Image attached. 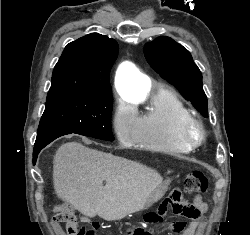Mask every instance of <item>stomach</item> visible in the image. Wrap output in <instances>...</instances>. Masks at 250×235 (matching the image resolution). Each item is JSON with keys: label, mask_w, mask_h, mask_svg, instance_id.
Masks as SVG:
<instances>
[{"label": "stomach", "mask_w": 250, "mask_h": 235, "mask_svg": "<svg viewBox=\"0 0 250 235\" xmlns=\"http://www.w3.org/2000/svg\"><path fill=\"white\" fill-rule=\"evenodd\" d=\"M167 185L168 182L163 183L158 186V188L153 192V194L150 196L149 200L147 201L146 207L151 206L153 203L157 202L167 191Z\"/></svg>", "instance_id": "stomach-1"}]
</instances>
